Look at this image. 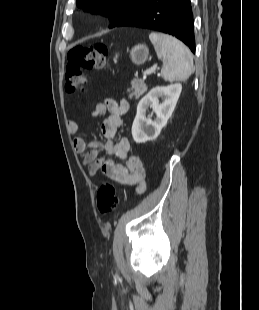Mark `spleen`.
<instances>
[{
    "label": "spleen",
    "mask_w": 259,
    "mask_h": 310,
    "mask_svg": "<svg viewBox=\"0 0 259 310\" xmlns=\"http://www.w3.org/2000/svg\"><path fill=\"white\" fill-rule=\"evenodd\" d=\"M149 39L158 59L163 61L161 75L165 81H186L194 71L191 51L178 39L163 33L152 32Z\"/></svg>",
    "instance_id": "spleen-1"
}]
</instances>
